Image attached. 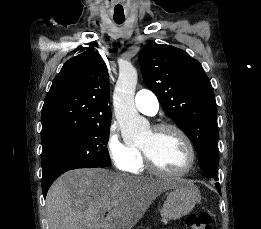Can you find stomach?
<instances>
[{
    "label": "stomach",
    "mask_w": 261,
    "mask_h": 229,
    "mask_svg": "<svg viewBox=\"0 0 261 229\" xmlns=\"http://www.w3.org/2000/svg\"><path fill=\"white\" fill-rule=\"evenodd\" d=\"M172 191L169 193L160 213L162 219H181L193 211L196 203L201 201L200 191L193 181L172 179Z\"/></svg>",
    "instance_id": "obj_1"
}]
</instances>
